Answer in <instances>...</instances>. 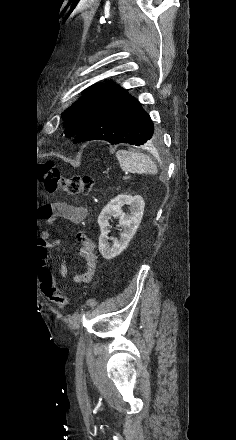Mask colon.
<instances>
[{
	"instance_id": "1",
	"label": "colon",
	"mask_w": 236,
	"mask_h": 440,
	"mask_svg": "<svg viewBox=\"0 0 236 440\" xmlns=\"http://www.w3.org/2000/svg\"><path fill=\"white\" fill-rule=\"evenodd\" d=\"M39 177L48 192L61 190L68 194H88L94 185V179L91 176L63 177L59 168L51 160L42 164ZM57 282L56 276H49L45 273L41 281V288L48 299L64 309L69 305V300L63 291L56 286Z\"/></svg>"
}]
</instances>
